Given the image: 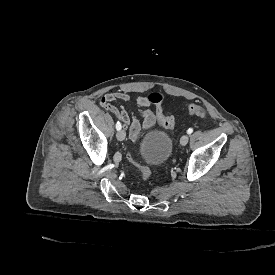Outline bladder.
I'll return each mask as SVG.
<instances>
[{"instance_id":"31cf9c89","label":"bladder","mask_w":275,"mask_h":275,"mask_svg":"<svg viewBox=\"0 0 275 275\" xmlns=\"http://www.w3.org/2000/svg\"><path fill=\"white\" fill-rule=\"evenodd\" d=\"M172 152V140L162 131H152L137 146L139 159L151 169L164 165Z\"/></svg>"}]
</instances>
